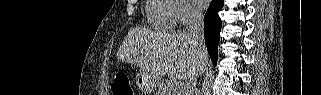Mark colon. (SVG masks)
<instances>
[{
	"label": "colon",
	"instance_id": "colon-1",
	"mask_svg": "<svg viewBox=\"0 0 321 95\" xmlns=\"http://www.w3.org/2000/svg\"><path fill=\"white\" fill-rule=\"evenodd\" d=\"M111 89L115 95H133L129 78L125 75H116L111 84Z\"/></svg>",
	"mask_w": 321,
	"mask_h": 95
}]
</instances>
